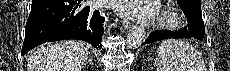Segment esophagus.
I'll use <instances>...</instances> for the list:
<instances>
[{
  "instance_id": "1",
  "label": "esophagus",
  "mask_w": 230,
  "mask_h": 71,
  "mask_svg": "<svg viewBox=\"0 0 230 71\" xmlns=\"http://www.w3.org/2000/svg\"><path fill=\"white\" fill-rule=\"evenodd\" d=\"M123 26L125 29H129L132 26V22L129 21L128 19L123 20Z\"/></svg>"
}]
</instances>
